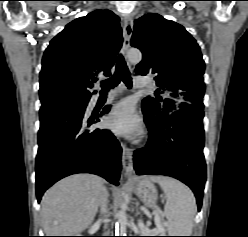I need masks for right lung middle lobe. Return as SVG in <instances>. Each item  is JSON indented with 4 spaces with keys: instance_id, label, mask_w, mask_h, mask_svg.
<instances>
[{
    "instance_id": "dd1d6c3e",
    "label": "right lung middle lobe",
    "mask_w": 248,
    "mask_h": 237,
    "mask_svg": "<svg viewBox=\"0 0 248 237\" xmlns=\"http://www.w3.org/2000/svg\"><path fill=\"white\" fill-rule=\"evenodd\" d=\"M89 100H83V101H75V100H60L53 102L51 104H48L43 107L48 106H75V107H85L87 106Z\"/></svg>"
}]
</instances>
